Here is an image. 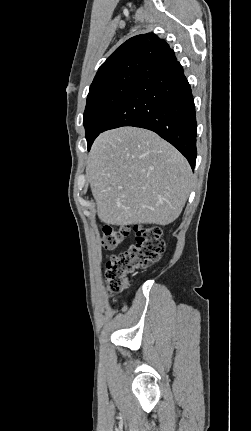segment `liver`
I'll return each instance as SVG.
<instances>
[{
  "instance_id": "liver-1",
  "label": "liver",
  "mask_w": 251,
  "mask_h": 431,
  "mask_svg": "<svg viewBox=\"0 0 251 431\" xmlns=\"http://www.w3.org/2000/svg\"><path fill=\"white\" fill-rule=\"evenodd\" d=\"M87 178L100 220L108 225H168L181 214L193 174L183 155L152 131L121 127L101 133Z\"/></svg>"
}]
</instances>
